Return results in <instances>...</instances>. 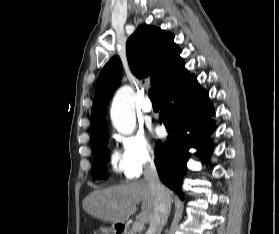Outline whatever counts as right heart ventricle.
<instances>
[{
    "label": "right heart ventricle",
    "mask_w": 279,
    "mask_h": 234,
    "mask_svg": "<svg viewBox=\"0 0 279 234\" xmlns=\"http://www.w3.org/2000/svg\"><path fill=\"white\" fill-rule=\"evenodd\" d=\"M111 164H112L113 169L116 172H124L125 173V164H124L123 158L117 152H114L112 154Z\"/></svg>",
    "instance_id": "right-heart-ventricle-1"
}]
</instances>
